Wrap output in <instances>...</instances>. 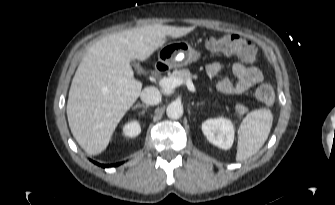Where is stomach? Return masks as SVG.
<instances>
[{"label": "stomach", "mask_w": 335, "mask_h": 205, "mask_svg": "<svg viewBox=\"0 0 335 205\" xmlns=\"http://www.w3.org/2000/svg\"><path fill=\"white\" fill-rule=\"evenodd\" d=\"M201 53L187 42H171L161 47L158 53L160 62L172 67L186 66L200 58Z\"/></svg>", "instance_id": "1"}]
</instances>
